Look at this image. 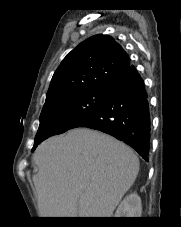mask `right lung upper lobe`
Listing matches in <instances>:
<instances>
[{
  "label": "right lung upper lobe",
  "instance_id": "cb5924a9",
  "mask_svg": "<svg viewBox=\"0 0 181 227\" xmlns=\"http://www.w3.org/2000/svg\"><path fill=\"white\" fill-rule=\"evenodd\" d=\"M132 67L127 53L111 37L92 36L63 59L52 77L44 107L62 98L109 88Z\"/></svg>",
  "mask_w": 181,
  "mask_h": 227
}]
</instances>
